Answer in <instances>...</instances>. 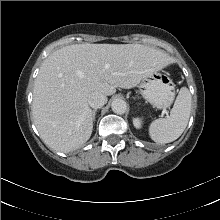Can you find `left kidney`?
I'll return each mask as SVG.
<instances>
[{
    "mask_svg": "<svg viewBox=\"0 0 220 220\" xmlns=\"http://www.w3.org/2000/svg\"><path fill=\"white\" fill-rule=\"evenodd\" d=\"M142 124H143L142 119H140V118H134V119H133V125H134V127H136L137 129L142 128Z\"/></svg>",
    "mask_w": 220,
    "mask_h": 220,
    "instance_id": "5707ae66",
    "label": "left kidney"
}]
</instances>
